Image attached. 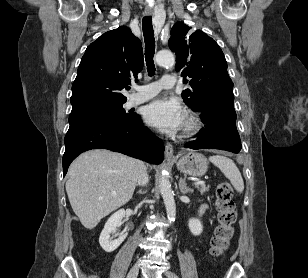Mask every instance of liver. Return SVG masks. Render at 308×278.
I'll return each instance as SVG.
<instances>
[{"label": "liver", "mask_w": 308, "mask_h": 278, "mask_svg": "<svg viewBox=\"0 0 308 278\" xmlns=\"http://www.w3.org/2000/svg\"><path fill=\"white\" fill-rule=\"evenodd\" d=\"M143 162L105 149L79 155L70 165L66 192L82 225L93 229L100 220L133 196Z\"/></svg>", "instance_id": "6515ba94"}]
</instances>
